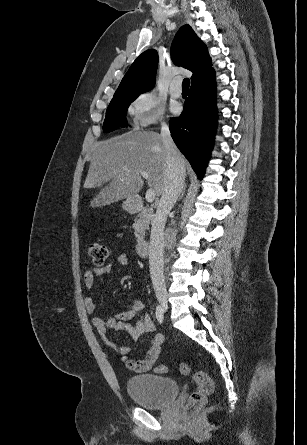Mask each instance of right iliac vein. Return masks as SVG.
Returning <instances> with one entry per match:
<instances>
[{
	"label": "right iliac vein",
	"instance_id": "63e3f726",
	"mask_svg": "<svg viewBox=\"0 0 307 445\" xmlns=\"http://www.w3.org/2000/svg\"><path fill=\"white\" fill-rule=\"evenodd\" d=\"M160 303L164 308H167V301L165 299H160Z\"/></svg>",
	"mask_w": 307,
	"mask_h": 445
}]
</instances>
